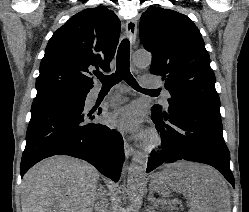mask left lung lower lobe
Returning a JSON list of instances; mask_svg holds the SVG:
<instances>
[{"mask_svg":"<svg viewBox=\"0 0 249 212\" xmlns=\"http://www.w3.org/2000/svg\"><path fill=\"white\" fill-rule=\"evenodd\" d=\"M151 111L163 142L162 149L149 157L146 173L164 163L187 160L213 166L234 187L219 106L174 99L168 110L155 105Z\"/></svg>","mask_w":249,"mask_h":212,"instance_id":"1","label":"left lung lower lobe"}]
</instances>
